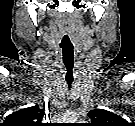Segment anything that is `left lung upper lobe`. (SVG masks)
I'll return each mask as SVG.
<instances>
[{"label": "left lung upper lobe", "instance_id": "left-lung-upper-lobe-1", "mask_svg": "<svg viewBox=\"0 0 135 126\" xmlns=\"http://www.w3.org/2000/svg\"><path fill=\"white\" fill-rule=\"evenodd\" d=\"M93 126H119L124 120L120 116L103 109H94L88 113Z\"/></svg>", "mask_w": 135, "mask_h": 126}]
</instances>
